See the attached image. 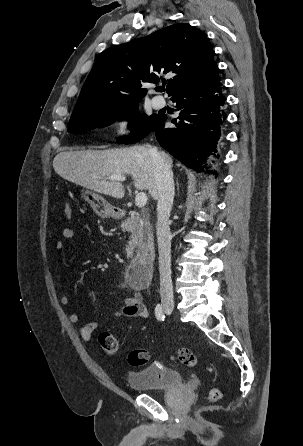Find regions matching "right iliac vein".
<instances>
[{
	"label": "right iliac vein",
	"mask_w": 303,
	"mask_h": 446,
	"mask_svg": "<svg viewBox=\"0 0 303 446\" xmlns=\"http://www.w3.org/2000/svg\"><path fill=\"white\" fill-rule=\"evenodd\" d=\"M166 308L169 309V310H172L173 309V305L168 304V305H166Z\"/></svg>",
	"instance_id": "right-iliac-vein-1"
}]
</instances>
